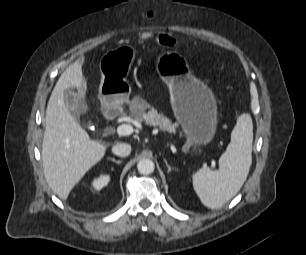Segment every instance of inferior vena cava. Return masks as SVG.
Listing matches in <instances>:
<instances>
[{
	"label": "inferior vena cava",
	"mask_w": 306,
	"mask_h": 255,
	"mask_svg": "<svg viewBox=\"0 0 306 255\" xmlns=\"http://www.w3.org/2000/svg\"><path fill=\"white\" fill-rule=\"evenodd\" d=\"M112 152L117 156L126 157L131 152V145L127 143H116L112 147Z\"/></svg>",
	"instance_id": "1"
}]
</instances>
